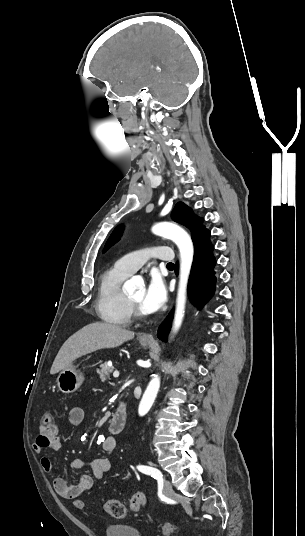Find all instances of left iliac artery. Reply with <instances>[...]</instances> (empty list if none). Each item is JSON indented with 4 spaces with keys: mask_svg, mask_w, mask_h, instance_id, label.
Listing matches in <instances>:
<instances>
[{
    "mask_svg": "<svg viewBox=\"0 0 305 536\" xmlns=\"http://www.w3.org/2000/svg\"><path fill=\"white\" fill-rule=\"evenodd\" d=\"M137 468L140 472L147 474V475H151L154 479L158 481V483L163 482V475L158 469L148 467V466H137Z\"/></svg>",
    "mask_w": 305,
    "mask_h": 536,
    "instance_id": "44dca946",
    "label": "left iliac artery"
}]
</instances>
